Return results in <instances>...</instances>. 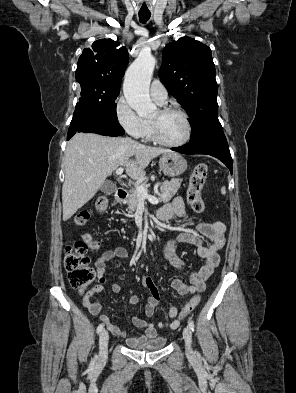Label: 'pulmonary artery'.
Segmentation results:
<instances>
[{
	"label": "pulmonary artery",
	"mask_w": 296,
	"mask_h": 393,
	"mask_svg": "<svg viewBox=\"0 0 296 393\" xmlns=\"http://www.w3.org/2000/svg\"><path fill=\"white\" fill-rule=\"evenodd\" d=\"M150 95L159 105H164L167 101L168 93L164 85L157 79L153 80L150 86Z\"/></svg>",
	"instance_id": "pulmonary-artery-1"
}]
</instances>
